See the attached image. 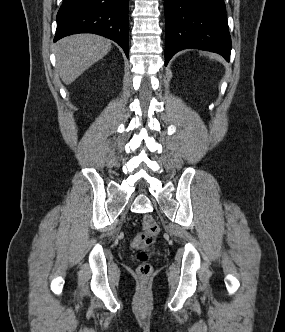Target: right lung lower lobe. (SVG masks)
Instances as JSON below:
<instances>
[{
	"label": "right lung lower lobe",
	"mask_w": 285,
	"mask_h": 332,
	"mask_svg": "<svg viewBox=\"0 0 285 332\" xmlns=\"http://www.w3.org/2000/svg\"><path fill=\"white\" fill-rule=\"evenodd\" d=\"M129 0H64L57 14L54 41L94 33L117 42L128 57Z\"/></svg>",
	"instance_id": "98d812e1"
}]
</instances>
